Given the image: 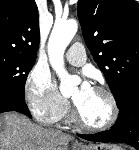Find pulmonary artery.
<instances>
[{"instance_id":"e3ab8cb5","label":"pulmonary artery","mask_w":139,"mask_h":150,"mask_svg":"<svg viewBox=\"0 0 139 150\" xmlns=\"http://www.w3.org/2000/svg\"><path fill=\"white\" fill-rule=\"evenodd\" d=\"M67 61L75 66H81L86 61V54L81 43H74L66 52Z\"/></svg>"}]
</instances>
